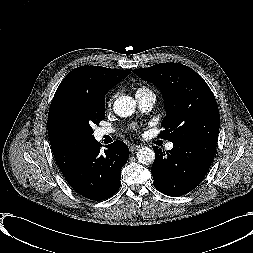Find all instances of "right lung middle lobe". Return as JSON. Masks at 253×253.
<instances>
[{
  "instance_id": "obj_1",
  "label": "right lung middle lobe",
  "mask_w": 253,
  "mask_h": 253,
  "mask_svg": "<svg viewBox=\"0 0 253 253\" xmlns=\"http://www.w3.org/2000/svg\"><path fill=\"white\" fill-rule=\"evenodd\" d=\"M77 104L80 115L74 123L75 130L83 138L95 141L91 126L105 118V99L83 94Z\"/></svg>"
}]
</instances>
